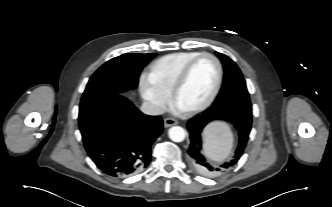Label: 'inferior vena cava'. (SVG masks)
Listing matches in <instances>:
<instances>
[{
    "instance_id": "obj_1",
    "label": "inferior vena cava",
    "mask_w": 332,
    "mask_h": 207,
    "mask_svg": "<svg viewBox=\"0 0 332 207\" xmlns=\"http://www.w3.org/2000/svg\"><path fill=\"white\" fill-rule=\"evenodd\" d=\"M140 109L144 114L147 115H161L165 112L163 107L150 102H144Z\"/></svg>"
}]
</instances>
